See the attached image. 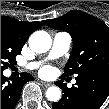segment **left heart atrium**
<instances>
[{"instance_id":"39dd6f15","label":"left heart atrium","mask_w":109,"mask_h":109,"mask_svg":"<svg viewBox=\"0 0 109 109\" xmlns=\"http://www.w3.org/2000/svg\"><path fill=\"white\" fill-rule=\"evenodd\" d=\"M41 73L44 76H50L53 73V69L51 67H45L42 69Z\"/></svg>"}]
</instances>
